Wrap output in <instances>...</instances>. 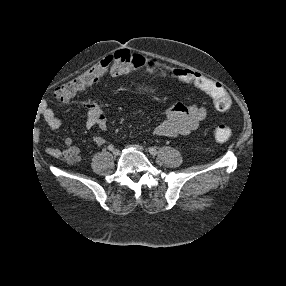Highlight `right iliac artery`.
I'll list each match as a JSON object with an SVG mask.
<instances>
[{
    "label": "right iliac artery",
    "instance_id": "right-iliac-artery-1",
    "mask_svg": "<svg viewBox=\"0 0 286 286\" xmlns=\"http://www.w3.org/2000/svg\"><path fill=\"white\" fill-rule=\"evenodd\" d=\"M108 150H110V151L114 150V145L110 144V145L108 146Z\"/></svg>",
    "mask_w": 286,
    "mask_h": 286
}]
</instances>
